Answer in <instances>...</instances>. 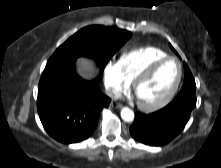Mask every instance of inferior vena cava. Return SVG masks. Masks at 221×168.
<instances>
[{"instance_id":"inferior-vena-cava-1","label":"inferior vena cava","mask_w":221,"mask_h":168,"mask_svg":"<svg viewBox=\"0 0 221 168\" xmlns=\"http://www.w3.org/2000/svg\"><path fill=\"white\" fill-rule=\"evenodd\" d=\"M106 94L112 99H118L121 96V94L113 88H106Z\"/></svg>"}]
</instances>
